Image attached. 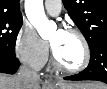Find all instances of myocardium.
<instances>
[{
	"instance_id": "f54148a6",
	"label": "myocardium",
	"mask_w": 107,
	"mask_h": 89,
	"mask_svg": "<svg viewBox=\"0 0 107 89\" xmlns=\"http://www.w3.org/2000/svg\"><path fill=\"white\" fill-rule=\"evenodd\" d=\"M62 31L73 34L80 40L82 47H83V60L80 63V65H78L76 67H67V66L63 65L57 59L55 51H54L53 47H51L52 63L56 69H58L62 72H66V73L81 72L89 65V62L91 59V49H90L89 43H88L85 35L80 30H78L77 28L67 27V28H64Z\"/></svg>"
}]
</instances>
